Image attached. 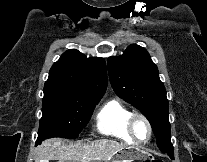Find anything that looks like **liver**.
<instances>
[{"label":"liver","instance_id":"6515ba94","mask_svg":"<svg viewBox=\"0 0 207 162\" xmlns=\"http://www.w3.org/2000/svg\"><path fill=\"white\" fill-rule=\"evenodd\" d=\"M127 147L114 140L99 139L87 143H67L62 138L47 139L37 147L35 162H91L110 160L118 151Z\"/></svg>","mask_w":207,"mask_h":162}]
</instances>
